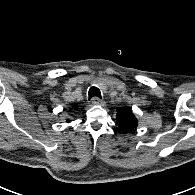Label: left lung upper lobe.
Here are the masks:
<instances>
[{
    "label": "left lung upper lobe",
    "instance_id": "obj_1",
    "mask_svg": "<svg viewBox=\"0 0 195 195\" xmlns=\"http://www.w3.org/2000/svg\"><path fill=\"white\" fill-rule=\"evenodd\" d=\"M117 124L121 130L131 132L137 127L138 121L130 108H118Z\"/></svg>",
    "mask_w": 195,
    "mask_h": 195
}]
</instances>
